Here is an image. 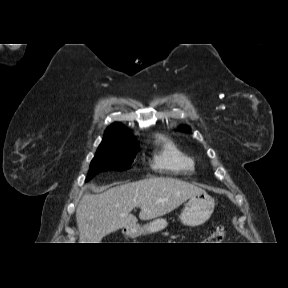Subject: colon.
<instances>
[{
    "mask_svg": "<svg viewBox=\"0 0 288 288\" xmlns=\"http://www.w3.org/2000/svg\"><path fill=\"white\" fill-rule=\"evenodd\" d=\"M226 236V228L223 225H219L216 227L213 234L207 239L208 242L219 244L223 241Z\"/></svg>",
    "mask_w": 288,
    "mask_h": 288,
    "instance_id": "colon-1",
    "label": "colon"
}]
</instances>
